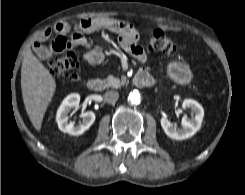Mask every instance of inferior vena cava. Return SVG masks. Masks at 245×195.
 Listing matches in <instances>:
<instances>
[{"label":"inferior vena cava","mask_w":245,"mask_h":195,"mask_svg":"<svg viewBox=\"0 0 245 195\" xmlns=\"http://www.w3.org/2000/svg\"><path fill=\"white\" fill-rule=\"evenodd\" d=\"M119 98V93L116 91H107L105 93V101L108 103H115Z\"/></svg>","instance_id":"1"}]
</instances>
